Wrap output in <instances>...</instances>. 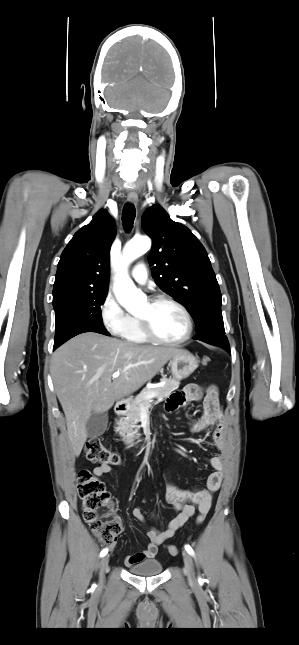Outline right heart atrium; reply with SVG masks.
I'll list each match as a JSON object with an SVG mask.
<instances>
[{
    "instance_id": "right-heart-atrium-1",
    "label": "right heart atrium",
    "mask_w": 299,
    "mask_h": 645,
    "mask_svg": "<svg viewBox=\"0 0 299 645\" xmlns=\"http://www.w3.org/2000/svg\"><path fill=\"white\" fill-rule=\"evenodd\" d=\"M100 318L105 330L113 336H122L130 323V316L111 293L101 303Z\"/></svg>"
}]
</instances>
